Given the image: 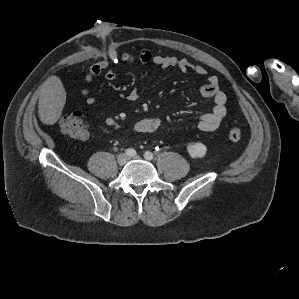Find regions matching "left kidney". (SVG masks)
<instances>
[{
    "mask_svg": "<svg viewBox=\"0 0 299 299\" xmlns=\"http://www.w3.org/2000/svg\"><path fill=\"white\" fill-rule=\"evenodd\" d=\"M187 151L192 158H202L205 156L207 148L202 143H193L187 145Z\"/></svg>",
    "mask_w": 299,
    "mask_h": 299,
    "instance_id": "obj_1",
    "label": "left kidney"
}]
</instances>
